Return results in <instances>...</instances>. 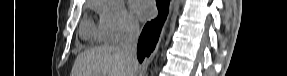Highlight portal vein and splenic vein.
Returning <instances> with one entry per match:
<instances>
[{
    "label": "portal vein and splenic vein",
    "instance_id": "18ae733b",
    "mask_svg": "<svg viewBox=\"0 0 287 76\" xmlns=\"http://www.w3.org/2000/svg\"><path fill=\"white\" fill-rule=\"evenodd\" d=\"M108 76H113V75H111V74H108Z\"/></svg>",
    "mask_w": 287,
    "mask_h": 76
}]
</instances>
